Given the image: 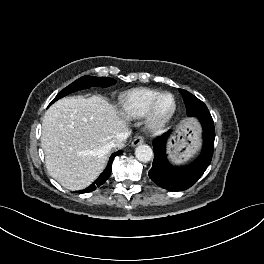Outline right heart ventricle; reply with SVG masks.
Masks as SVG:
<instances>
[{
    "instance_id": "1",
    "label": "right heart ventricle",
    "mask_w": 264,
    "mask_h": 264,
    "mask_svg": "<svg viewBox=\"0 0 264 264\" xmlns=\"http://www.w3.org/2000/svg\"><path fill=\"white\" fill-rule=\"evenodd\" d=\"M161 94V91L151 88L128 91L119 99L120 111L128 119L142 118L148 113L154 100Z\"/></svg>"
}]
</instances>
